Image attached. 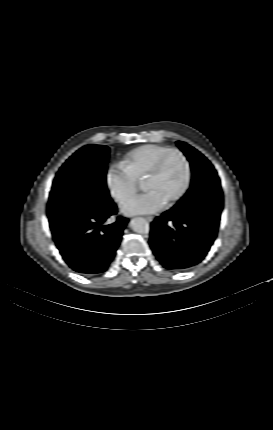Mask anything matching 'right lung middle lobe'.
<instances>
[{
	"label": "right lung middle lobe",
	"mask_w": 273,
	"mask_h": 430,
	"mask_svg": "<svg viewBox=\"0 0 273 430\" xmlns=\"http://www.w3.org/2000/svg\"><path fill=\"white\" fill-rule=\"evenodd\" d=\"M109 152L104 145H87L63 164L49 196L50 224L113 204L106 187Z\"/></svg>",
	"instance_id": "right-lung-middle-lobe-1"
}]
</instances>
